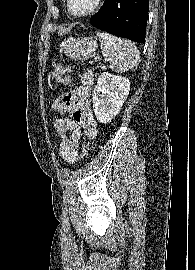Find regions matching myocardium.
<instances>
[{
  "mask_svg": "<svg viewBox=\"0 0 195 270\" xmlns=\"http://www.w3.org/2000/svg\"><path fill=\"white\" fill-rule=\"evenodd\" d=\"M102 1L103 0H95V3L94 5L91 7V9H89L87 12L83 13V14H76L74 13L72 10H71V7H70V0H65L66 2V8H67V11L68 13L74 17V18H86L90 15H92L93 13H95L101 6L102 4Z\"/></svg>",
  "mask_w": 195,
  "mask_h": 270,
  "instance_id": "1",
  "label": "myocardium"
}]
</instances>
